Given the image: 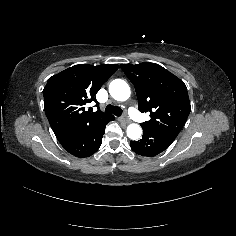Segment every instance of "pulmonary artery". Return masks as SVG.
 <instances>
[{"instance_id":"pulmonary-artery-1","label":"pulmonary artery","mask_w":236,"mask_h":236,"mask_svg":"<svg viewBox=\"0 0 236 236\" xmlns=\"http://www.w3.org/2000/svg\"><path fill=\"white\" fill-rule=\"evenodd\" d=\"M128 113L133 117V120L139 124H145L147 122V117L142 115L135 106H130Z\"/></svg>"}]
</instances>
